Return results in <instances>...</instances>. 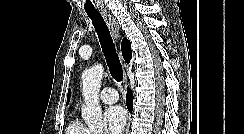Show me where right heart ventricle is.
<instances>
[{"label":"right heart ventricle","instance_id":"obj_1","mask_svg":"<svg viewBox=\"0 0 244 134\" xmlns=\"http://www.w3.org/2000/svg\"><path fill=\"white\" fill-rule=\"evenodd\" d=\"M66 134H93L86 128L78 118H74L69 123Z\"/></svg>","mask_w":244,"mask_h":134}]
</instances>
